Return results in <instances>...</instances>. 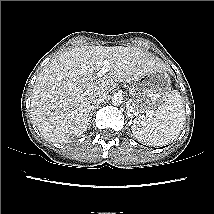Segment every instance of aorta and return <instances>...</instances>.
<instances>
[{
  "mask_svg": "<svg viewBox=\"0 0 214 214\" xmlns=\"http://www.w3.org/2000/svg\"><path fill=\"white\" fill-rule=\"evenodd\" d=\"M122 102H123V96L121 94L117 93L112 96L113 105L118 106L122 104Z\"/></svg>",
  "mask_w": 214,
  "mask_h": 214,
  "instance_id": "aorta-1",
  "label": "aorta"
}]
</instances>
